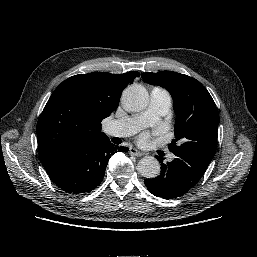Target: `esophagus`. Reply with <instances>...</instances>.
<instances>
[{
  "label": "esophagus",
  "instance_id": "esophagus-1",
  "mask_svg": "<svg viewBox=\"0 0 257 257\" xmlns=\"http://www.w3.org/2000/svg\"><path fill=\"white\" fill-rule=\"evenodd\" d=\"M129 153L133 156H136V157H141L143 156L144 154L142 152H140L139 150L135 149V148H130L129 149Z\"/></svg>",
  "mask_w": 257,
  "mask_h": 257
}]
</instances>
